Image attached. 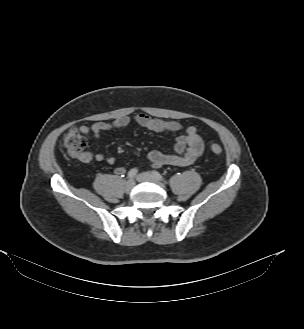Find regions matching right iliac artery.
Wrapping results in <instances>:
<instances>
[{
    "instance_id": "right-iliac-artery-1",
    "label": "right iliac artery",
    "mask_w": 304,
    "mask_h": 329,
    "mask_svg": "<svg viewBox=\"0 0 304 329\" xmlns=\"http://www.w3.org/2000/svg\"><path fill=\"white\" fill-rule=\"evenodd\" d=\"M138 170L136 168H133L131 169L129 172H128V178L132 179L136 176Z\"/></svg>"
}]
</instances>
